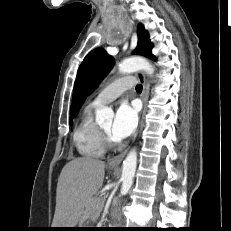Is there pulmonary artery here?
I'll list each match as a JSON object with an SVG mask.
<instances>
[{"label": "pulmonary artery", "mask_w": 231, "mask_h": 231, "mask_svg": "<svg viewBox=\"0 0 231 231\" xmlns=\"http://www.w3.org/2000/svg\"><path fill=\"white\" fill-rule=\"evenodd\" d=\"M135 79L132 76L121 77L103 88L91 102L94 107L108 104L118 98L126 89L132 88Z\"/></svg>", "instance_id": "obj_1"}]
</instances>
